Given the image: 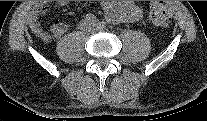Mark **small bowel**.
Listing matches in <instances>:
<instances>
[{
	"label": "small bowel",
	"instance_id": "obj_1",
	"mask_svg": "<svg viewBox=\"0 0 207 121\" xmlns=\"http://www.w3.org/2000/svg\"><path fill=\"white\" fill-rule=\"evenodd\" d=\"M68 3L66 1H59L56 3L58 7H65ZM105 15L108 20L112 22L134 21L140 17V10L130 1L127 2H111L105 1L102 3ZM51 10V6L47 3L36 5L35 9L29 16V24L31 30L44 42L51 40V35L44 31L38 22V14H47ZM67 30V25L64 22H54L51 26V32L54 36L59 37Z\"/></svg>",
	"mask_w": 207,
	"mask_h": 121
}]
</instances>
